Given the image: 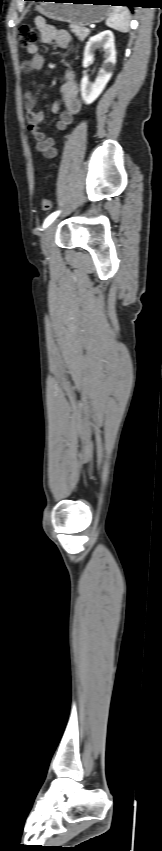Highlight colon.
Returning a JSON list of instances; mask_svg holds the SVG:
<instances>
[{
  "label": "colon",
  "mask_w": 162,
  "mask_h": 851,
  "mask_svg": "<svg viewBox=\"0 0 162 851\" xmlns=\"http://www.w3.org/2000/svg\"><path fill=\"white\" fill-rule=\"evenodd\" d=\"M38 35L36 30L29 26L24 25L19 30V46L24 49H28L31 46L35 45L37 42ZM40 206L43 210H49L51 208V201L48 198H43L40 202Z\"/></svg>",
  "instance_id": "5ec220e1"
}]
</instances>
